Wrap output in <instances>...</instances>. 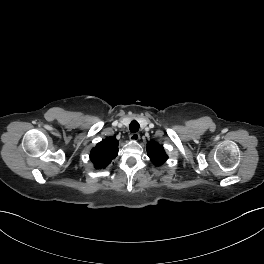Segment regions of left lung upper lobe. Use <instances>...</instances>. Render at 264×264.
Instances as JSON below:
<instances>
[{"label":"left lung upper lobe","mask_w":264,"mask_h":264,"mask_svg":"<svg viewBox=\"0 0 264 264\" xmlns=\"http://www.w3.org/2000/svg\"><path fill=\"white\" fill-rule=\"evenodd\" d=\"M147 152L155 165H161L168 158L163 147L156 142H149L147 144Z\"/></svg>","instance_id":"1"}]
</instances>
